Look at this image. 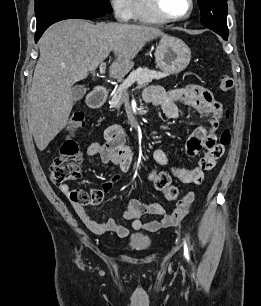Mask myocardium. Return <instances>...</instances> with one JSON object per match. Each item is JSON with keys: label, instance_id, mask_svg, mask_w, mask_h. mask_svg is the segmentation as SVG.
<instances>
[{"label": "myocardium", "instance_id": "f54148a6", "mask_svg": "<svg viewBox=\"0 0 261 306\" xmlns=\"http://www.w3.org/2000/svg\"><path fill=\"white\" fill-rule=\"evenodd\" d=\"M145 1H146V5H147L148 9L150 10V12L152 14H154L156 17H158L160 20H162L163 22L183 21V20L187 19L188 17H190V15L192 14V12L194 10V6H195L194 0H188L189 1V9H188L187 13L182 15V16L171 17V16H168L167 14L164 13V11L161 8L159 0H145Z\"/></svg>", "mask_w": 261, "mask_h": 306}]
</instances>
